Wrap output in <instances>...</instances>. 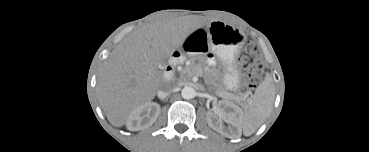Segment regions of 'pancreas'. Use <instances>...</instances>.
<instances>
[{
    "label": "pancreas",
    "instance_id": "pancreas-1",
    "mask_svg": "<svg viewBox=\"0 0 369 152\" xmlns=\"http://www.w3.org/2000/svg\"><path fill=\"white\" fill-rule=\"evenodd\" d=\"M194 72L199 75V76H203V70L201 68H198L197 70H194ZM206 83L207 84H211L209 81L206 80ZM214 88H215V93L217 95H220L222 97H225L226 99L228 100H231L233 99V96L228 93L227 91L223 90L221 87H219L218 85L216 84H213ZM243 96H240V97H236L235 99L236 100H239L240 98H242Z\"/></svg>",
    "mask_w": 369,
    "mask_h": 152
}]
</instances>
